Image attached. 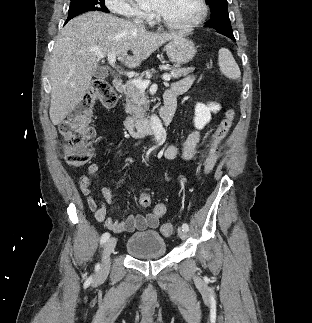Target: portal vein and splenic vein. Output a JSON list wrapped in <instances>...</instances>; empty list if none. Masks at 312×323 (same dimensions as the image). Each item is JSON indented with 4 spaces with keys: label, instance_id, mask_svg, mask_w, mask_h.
<instances>
[{
    "label": "portal vein and splenic vein",
    "instance_id": "1",
    "mask_svg": "<svg viewBox=\"0 0 312 323\" xmlns=\"http://www.w3.org/2000/svg\"><path fill=\"white\" fill-rule=\"evenodd\" d=\"M96 56H99V58H106L105 54H96ZM107 60L111 66H114L116 62V54H110V56H107ZM162 78L165 80V82H170L171 80L170 76H166V74H164ZM133 84L136 86V88H139L141 92H144L149 84V80H144V82L143 80H133Z\"/></svg>",
    "mask_w": 312,
    "mask_h": 323
}]
</instances>
